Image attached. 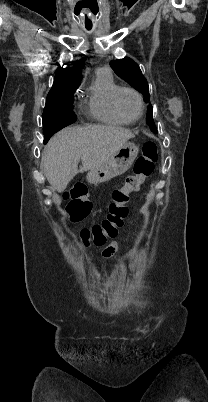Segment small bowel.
Masks as SVG:
<instances>
[{
  "label": "small bowel",
  "instance_id": "c3829d8e",
  "mask_svg": "<svg viewBox=\"0 0 208 402\" xmlns=\"http://www.w3.org/2000/svg\"><path fill=\"white\" fill-rule=\"evenodd\" d=\"M97 251H100V250H97ZM118 251H119L118 250V245L117 244H111V245H109V246H107V247H105L103 249V254L106 256L107 259H112L113 255L117 254ZM99 292H100V294L103 293V291L101 289H100Z\"/></svg>",
  "mask_w": 208,
  "mask_h": 402
}]
</instances>
